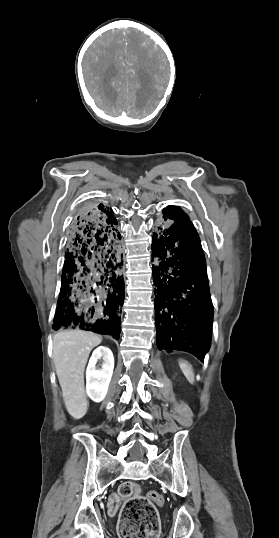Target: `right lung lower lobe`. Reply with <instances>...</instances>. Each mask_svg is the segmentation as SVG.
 <instances>
[{
    "mask_svg": "<svg viewBox=\"0 0 279 538\" xmlns=\"http://www.w3.org/2000/svg\"><path fill=\"white\" fill-rule=\"evenodd\" d=\"M120 240L117 220L107 206L91 203L79 210L69 233L54 330L119 338L125 288Z\"/></svg>",
    "mask_w": 279,
    "mask_h": 538,
    "instance_id": "1",
    "label": "right lung lower lobe"
}]
</instances>
